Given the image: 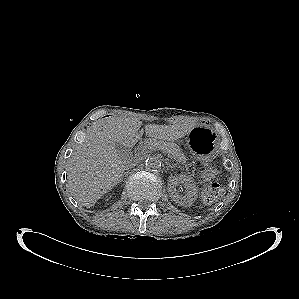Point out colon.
Here are the masks:
<instances>
[{
	"mask_svg": "<svg viewBox=\"0 0 299 299\" xmlns=\"http://www.w3.org/2000/svg\"><path fill=\"white\" fill-rule=\"evenodd\" d=\"M216 175L217 169L214 167L207 168L203 174V179L208 183L202 193L203 201L206 203H211L219 193V185L214 182Z\"/></svg>",
	"mask_w": 299,
	"mask_h": 299,
	"instance_id": "colon-1",
	"label": "colon"
}]
</instances>
